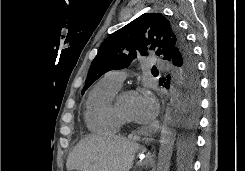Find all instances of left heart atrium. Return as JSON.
I'll list each match as a JSON object with an SVG mask.
<instances>
[{
	"mask_svg": "<svg viewBox=\"0 0 245 171\" xmlns=\"http://www.w3.org/2000/svg\"><path fill=\"white\" fill-rule=\"evenodd\" d=\"M158 112V103L155 97L149 93L137 95L133 110V118L137 122L147 123Z\"/></svg>",
	"mask_w": 245,
	"mask_h": 171,
	"instance_id": "left-heart-atrium-1",
	"label": "left heart atrium"
}]
</instances>
